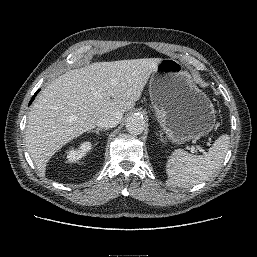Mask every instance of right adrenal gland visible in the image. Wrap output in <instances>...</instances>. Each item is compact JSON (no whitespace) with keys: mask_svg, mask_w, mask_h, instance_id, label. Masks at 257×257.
I'll use <instances>...</instances> for the list:
<instances>
[{"mask_svg":"<svg viewBox=\"0 0 257 257\" xmlns=\"http://www.w3.org/2000/svg\"><path fill=\"white\" fill-rule=\"evenodd\" d=\"M107 129H105V128H96V129H94V130H92V131H90L91 133H96L97 135H99V132L100 131H106Z\"/></svg>","mask_w":257,"mask_h":257,"instance_id":"1","label":"right adrenal gland"}]
</instances>
